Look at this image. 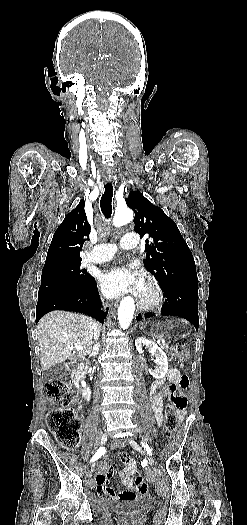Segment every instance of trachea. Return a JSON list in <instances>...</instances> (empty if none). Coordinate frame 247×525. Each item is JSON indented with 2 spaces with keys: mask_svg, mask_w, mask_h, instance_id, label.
Here are the masks:
<instances>
[{
  "mask_svg": "<svg viewBox=\"0 0 247 525\" xmlns=\"http://www.w3.org/2000/svg\"><path fill=\"white\" fill-rule=\"evenodd\" d=\"M105 191L100 200V208L105 218H110L112 214L113 185L104 184Z\"/></svg>",
  "mask_w": 247,
  "mask_h": 525,
  "instance_id": "obj_1",
  "label": "trachea"
}]
</instances>
